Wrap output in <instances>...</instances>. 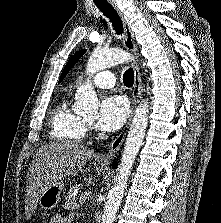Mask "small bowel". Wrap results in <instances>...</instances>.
I'll use <instances>...</instances> for the list:
<instances>
[{
  "instance_id": "obj_1",
  "label": "small bowel",
  "mask_w": 221,
  "mask_h": 223,
  "mask_svg": "<svg viewBox=\"0 0 221 223\" xmlns=\"http://www.w3.org/2000/svg\"><path fill=\"white\" fill-rule=\"evenodd\" d=\"M70 220H71L70 217H64L59 215L53 218L50 223H71Z\"/></svg>"
}]
</instances>
